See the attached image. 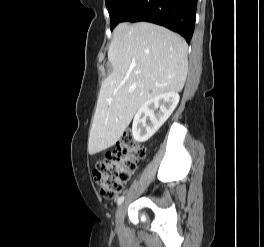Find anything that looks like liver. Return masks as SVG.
Instances as JSON below:
<instances>
[{
    "label": "liver",
    "mask_w": 264,
    "mask_h": 247,
    "mask_svg": "<svg viewBox=\"0 0 264 247\" xmlns=\"http://www.w3.org/2000/svg\"><path fill=\"white\" fill-rule=\"evenodd\" d=\"M188 45L172 31L147 22L120 23L108 51L104 80L89 133L88 152L112 147L149 99L180 92L188 72Z\"/></svg>",
    "instance_id": "liver-1"
}]
</instances>
